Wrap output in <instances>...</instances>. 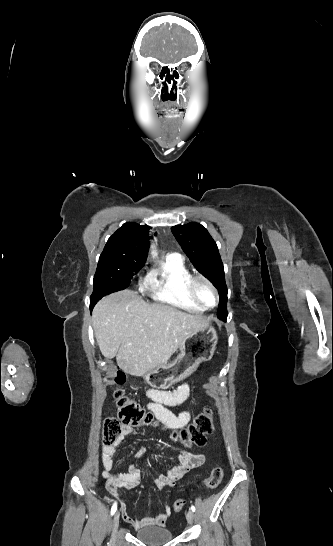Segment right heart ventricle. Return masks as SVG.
<instances>
[{"instance_id": "right-heart-ventricle-1", "label": "right heart ventricle", "mask_w": 333, "mask_h": 546, "mask_svg": "<svg viewBox=\"0 0 333 546\" xmlns=\"http://www.w3.org/2000/svg\"><path fill=\"white\" fill-rule=\"evenodd\" d=\"M191 275L182 258L167 257L152 276L153 299L163 305L189 312H204L186 291V281Z\"/></svg>"}]
</instances>
